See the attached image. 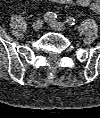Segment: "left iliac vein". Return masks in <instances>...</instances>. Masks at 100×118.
Listing matches in <instances>:
<instances>
[{"mask_svg": "<svg viewBox=\"0 0 100 118\" xmlns=\"http://www.w3.org/2000/svg\"><path fill=\"white\" fill-rule=\"evenodd\" d=\"M49 25L51 28H53L56 31H64L66 29L65 25L61 22H57V21H48Z\"/></svg>", "mask_w": 100, "mask_h": 118, "instance_id": "4c4485c4", "label": "left iliac vein"}]
</instances>
